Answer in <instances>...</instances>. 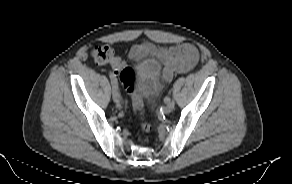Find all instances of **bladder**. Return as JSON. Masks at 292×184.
I'll list each match as a JSON object with an SVG mask.
<instances>
[{"label":"bladder","mask_w":292,"mask_h":184,"mask_svg":"<svg viewBox=\"0 0 292 184\" xmlns=\"http://www.w3.org/2000/svg\"><path fill=\"white\" fill-rule=\"evenodd\" d=\"M159 64L153 60H142L134 69L133 87L141 98H152L160 88Z\"/></svg>","instance_id":"1"}]
</instances>
